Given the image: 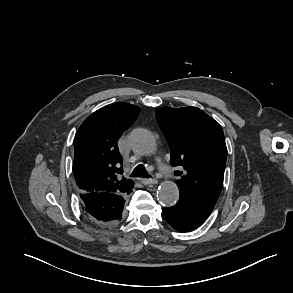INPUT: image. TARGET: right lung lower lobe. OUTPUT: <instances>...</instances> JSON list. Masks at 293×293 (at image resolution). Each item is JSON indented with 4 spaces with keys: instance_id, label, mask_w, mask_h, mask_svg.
<instances>
[{
    "instance_id": "1",
    "label": "right lung lower lobe",
    "mask_w": 293,
    "mask_h": 293,
    "mask_svg": "<svg viewBox=\"0 0 293 293\" xmlns=\"http://www.w3.org/2000/svg\"><path fill=\"white\" fill-rule=\"evenodd\" d=\"M134 186V185H133ZM131 187V189L133 188ZM125 193H85L80 194L83 207L90 221L101 226H113L122 218Z\"/></svg>"
}]
</instances>
